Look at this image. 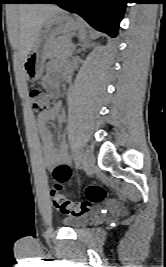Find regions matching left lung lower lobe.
I'll return each mask as SVG.
<instances>
[{"label": "left lung lower lobe", "mask_w": 166, "mask_h": 267, "mask_svg": "<svg viewBox=\"0 0 166 267\" xmlns=\"http://www.w3.org/2000/svg\"><path fill=\"white\" fill-rule=\"evenodd\" d=\"M37 3H56L61 8L77 13L92 27L116 37L127 0H40Z\"/></svg>", "instance_id": "obj_1"}]
</instances>
